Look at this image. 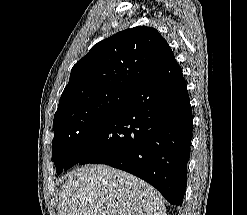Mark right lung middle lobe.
Returning a JSON list of instances; mask_svg holds the SVG:
<instances>
[{
	"label": "right lung middle lobe",
	"mask_w": 247,
	"mask_h": 215,
	"mask_svg": "<svg viewBox=\"0 0 247 215\" xmlns=\"http://www.w3.org/2000/svg\"><path fill=\"white\" fill-rule=\"evenodd\" d=\"M131 94L122 90H97L73 92L60 99L54 115L52 140V159L57 174L70 168L68 156L77 141L114 116Z\"/></svg>",
	"instance_id": "1"
}]
</instances>
